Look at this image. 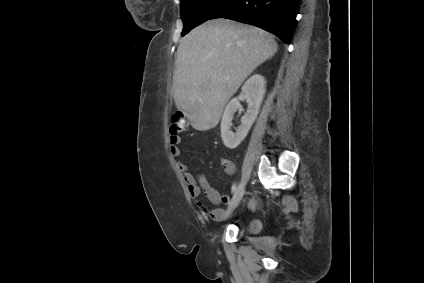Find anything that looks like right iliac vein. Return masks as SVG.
<instances>
[{"mask_svg":"<svg viewBox=\"0 0 424 283\" xmlns=\"http://www.w3.org/2000/svg\"><path fill=\"white\" fill-rule=\"evenodd\" d=\"M244 192H245V185L243 182H241L233 195V198L228 208V212H230L231 210L235 209L238 206V204L240 203L244 195Z\"/></svg>","mask_w":424,"mask_h":283,"instance_id":"obj_1","label":"right iliac vein"}]
</instances>
